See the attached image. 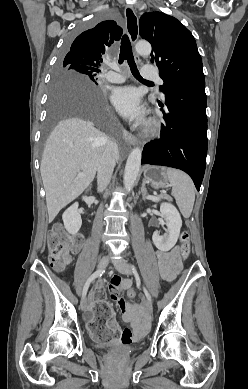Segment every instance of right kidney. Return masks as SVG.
Instances as JSON below:
<instances>
[{
    "label": "right kidney",
    "mask_w": 248,
    "mask_h": 389,
    "mask_svg": "<svg viewBox=\"0 0 248 389\" xmlns=\"http://www.w3.org/2000/svg\"><path fill=\"white\" fill-rule=\"evenodd\" d=\"M65 229L72 235L78 233L82 225V219L78 212V203L70 206L62 215Z\"/></svg>",
    "instance_id": "right-kidney-1"
}]
</instances>
